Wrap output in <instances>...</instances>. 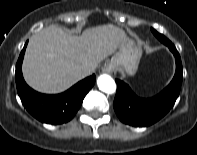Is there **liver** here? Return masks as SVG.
<instances>
[{"mask_svg":"<svg viewBox=\"0 0 197 155\" xmlns=\"http://www.w3.org/2000/svg\"><path fill=\"white\" fill-rule=\"evenodd\" d=\"M127 40L125 32L112 24L86 29L81 36L50 25L28 42L22 67L24 79L39 92H62L91 74ZM84 67L92 72L84 74Z\"/></svg>","mask_w":197,"mask_h":155,"instance_id":"liver-1","label":"liver"}]
</instances>
